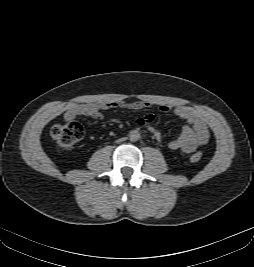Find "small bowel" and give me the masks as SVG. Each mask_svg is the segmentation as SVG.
<instances>
[{
	"label": "small bowel",
	"instance_id": "c3829d8e",
	"mask_svg": "<svg viewBox=\"0 0 254 267\" xmlns=\"http://www.w3.org/2000/svg\"><path fill=\"white\" fill-rule=\"evenodd\" d=\"M150 107H152L150 102L142 100L133 102L117 100L96 103H73L67 107L64 113V120L71 122L79 117L102 119L104 112L110 109L138 111ZM160 110L163 113H168L172 108L168 105H162ZM173 113L176 117L184 120L187 125L183 127L181 134L176 139L169 142V148L171 150L191 153L208 142L210 136L208 126L204 118L196 110L187 106H178L173 109ZM154 119V114L149 113L138 118L136 123L138 126L146 127L156 140H161L162 135L160 130L152 125Z\"/></svg>",
	"mask_w": 254,
	"mask_h": 267
}]
</instances>
